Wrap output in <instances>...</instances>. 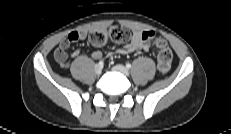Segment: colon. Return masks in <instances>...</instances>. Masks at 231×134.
Segmentation results:
<instances>
[{
	"label": "colon",
	"instance_id": "obj_1",
	"mask_svg": "<svg viewBox=\"0 0 231 134\" xmlns=\"http://www.w3.org/2000/svg\"><path fill=\"white\" fill-rule=\"evenodd\" d=\"M130 37L131 34L127 29L120 26H112L106 31L92 32L89 35V40L95 46H102L108 39L116 43H125L130 39ZM155 45L159 49L157 55L158 70L161 74H166L170 70L173 53L168 47L166 41L162 38H157L155 40Z\"/></svg>",
	"mask_w": 231,
	"mask_h": 134
}]
</instances>
